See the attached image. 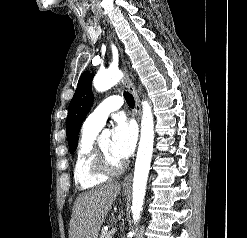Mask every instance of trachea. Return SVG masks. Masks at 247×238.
I'll return each mask as SVG.
<instances>
[{"instance_id": "trachea-1", "label": "trachea", "mask_w": 247, "mask_h": 238, "mask_svg": "<svg viewBox=\"0 0 247 238\" xmlns=\"http://www.w3.org/2000/svg\"><path fill=\"white\" fill-rule=\"evenodd\" d=\"M124 97L129 107H134L135 101H134V97L132 96V94H130L129 92H124Z\"/></svg>"}]
</instances>
